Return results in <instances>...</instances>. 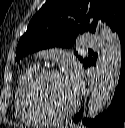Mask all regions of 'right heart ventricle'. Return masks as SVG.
<instances>
[{
  "mask_svg": "<svg viewBox=\"0 0 125 128\" xmlns=\"http://www.w3.org/2000/svg\"><path fill=\"white\" fill-rule=\"evenodd\" d=\"M39 72L37 65L28 66L19 76L16 87L15 111L20 120L28 124H44L47 120L35 109L29 96V84Z\"/></svg>",
  "mask_w": 125,
  "mask_h": 128,
  "instance_id": "1",
  "label": "right heart ventricle"
}]
</instances>
